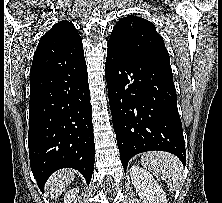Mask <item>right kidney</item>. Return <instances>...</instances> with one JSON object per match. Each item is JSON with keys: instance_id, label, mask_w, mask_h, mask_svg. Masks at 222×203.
<instances>
[{"instance_id": "obj_1", "label": "right kidney", "mask_w": 222, "mask_h": 203, "mask_svg": "<svg viewBox=\"0 0 222 203\" xmlns=\"http://www.w3.org/2000/svg\"><path fill=\"white\" fill-rule=\"evenodd\" d=\"M79 192V188L69 190L64 197V203H73L76 198L77 193Z\"/></svg>"}]
</instances>
